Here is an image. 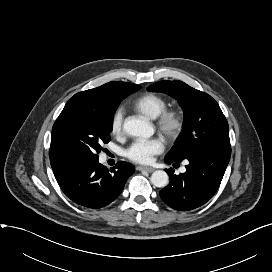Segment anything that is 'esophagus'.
<instances>
[{
  "label": "esophagus",
  "instance_id": "esophagus-1",
  "mask_svg": "<svg viewBox=\"0 0 272 272\" xmlns=\"http://www.w3.org/2000/svg\"><path fill=\"white\" fill-rule=\"evenodd\" d=\"M137 170L138 171H146V172H153L154 171V168H151V167H145V166H138L137 167Z\"/></svg>",
  "mask_w": 272,
  "mask_h": 272
}]
</instances>
